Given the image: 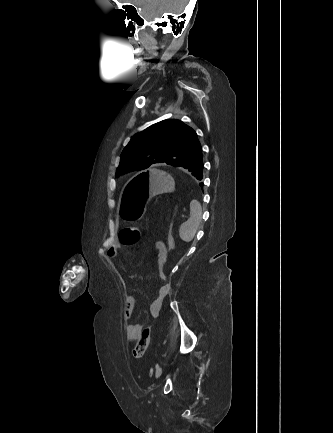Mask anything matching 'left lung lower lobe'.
I'll return each mask as SVG.
<instances>
[{
  "label": "left lung lower lobe",
  "mask_w": 333,
  "mask_h": 433,
  "mask_svg": "<svg viewBox=\"0 0 333 433\" xmlns=\"http://www.w3.org/2000/svg\"><path fill=\"white\" fill-rule=\"evenodd\" d=\"M181 168H184L186 171L191 173L198 180H202L203 178V157H202V148L199 152L186 161ZM202 185V184H200Z\"/></svg>",
  "instance_id": "0a47b994"
}]
</instances>
